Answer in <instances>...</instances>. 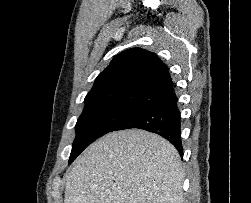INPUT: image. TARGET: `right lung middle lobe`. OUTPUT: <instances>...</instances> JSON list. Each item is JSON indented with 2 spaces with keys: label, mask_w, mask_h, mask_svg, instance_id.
Returning a JSON list of instances; mask_svg holds the SVG:
<instances>
[{
  "label": "right lung middle lobe",
  "mask_w": 251,
  "mask_h": 203,
  "mask_svg": "<svg viewBox=\"0 0 251 203\" xmlns=\"http://www.w3.org/2000/svg\"><path fill=\"white\" fill-rule=\"evenodd\" d=\"M141 108L111 104L85 106L76 123V138L72 145L69 164L93 141L111 132L116 126L134 115Z\"/></svg>",
  "instance_id": "right-lung-middle-lobe-1"
}]
</instances>
